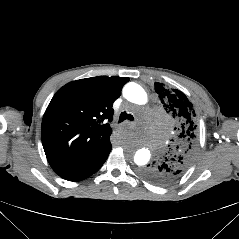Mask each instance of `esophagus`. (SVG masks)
I'll return each mask as SVG.
<instances>
[{
	"instance_id": "obj_1",
	"label": "esophagus",
	"mask_w": 239,
	"mask_h": 239,
	"mask_svg": "<svg viewBox=\"0 0 239 239\" xmlns=\"http://www.w3.org/2000/svg\"><path fill=\"white\" fill-rule=\"evenodd\" d=\"M112 134H113L114 137H116V138L121 137L122 132H121L120 127H118V126L113 127V129H112Z\"/></svg>"
}]
</instances>
